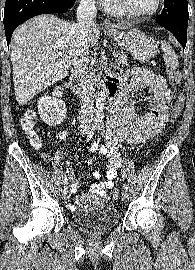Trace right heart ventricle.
Returning a JSON list of instances; mask_svg holds the SVG:
<instances>
[{
  "instance_id": "right-heart-ventricle-1",
  "label": "right heart ventricle",
  "mask_w": 195,
  "mask_h": 270,
  "mask_svg": "<svg viewBox=\"0 0 195 270\" xmlns=\"http://www.w3.org/2000/svg\"><path fill=\"white\" fill-rule=\"evenodd\" d=\"M103 8L112 14L119 16H131L120 4L119 0H105Z\"/></svg>"
}]
</instances>
